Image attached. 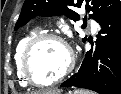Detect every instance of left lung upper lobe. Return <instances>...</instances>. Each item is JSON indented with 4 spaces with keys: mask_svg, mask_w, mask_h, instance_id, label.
Instances as JSON below:
<instances>
[{
    "mask_svg": "<svg viewBox=\"0 0 121 94\" xmlns=\"http://www.w3.org/2000/svg\"><path fill=\"white\" fill-rule=\"evenodd\" d=\"M74 7L85 8L91 12L99 24L121 9L119 0H25L15 29L25 25L34 16L66 15L73 21L80 19ZM86 41V37L83 42Z\"/></svg>",
    "mask_w": 121,
    "mask_h": 94,
    "instance_id": "1",
    "label": "left lung upper lobe"
}]
</instances>
